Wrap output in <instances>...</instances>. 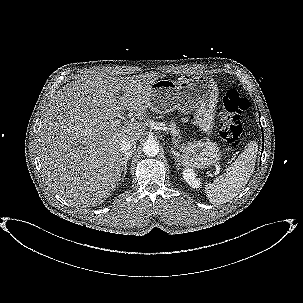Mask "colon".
<instances>
[{
    "instance_id": "5ec220e1",
    "label": "colon",
    "mask_w": 303,
    "mask_h": 303,
    "mask_svg": "<svg viewBox=\"0 0 303 303\" xmlns=\"http://www.w3.org/2000/svg\"><path fill=\"white\" fill-rule=\"evenodd\" d=\"M249 108V101L235 90H228L222 99L220 112V136L232 147L241 142V115Z\"/></svg>"
}]
</instances>
